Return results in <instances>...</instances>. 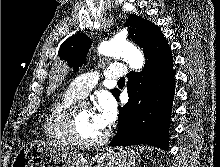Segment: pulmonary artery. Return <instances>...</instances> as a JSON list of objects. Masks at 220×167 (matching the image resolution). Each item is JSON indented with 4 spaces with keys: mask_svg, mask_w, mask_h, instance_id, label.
I'll return each mask as SVG.
<instances>
[{
    "mask_svg": "<svg viewBox=\"0 0 220 167\" xmlns=\"http://www.w3.org/2000/svg\"><path fill=\"white\" fill-rule=\"evenodd\" d=\"M127 74V68L123 64H110L104 68L103 75L107 79H120ZM96 74H82L76 77L69 90L79 98L85 97L97 84Z\"/></svg>",
    "mask_w": 220,
    "mask_h": 167,
    "instance_id": "e3ab8cb5",
    "label": "pulmonary artery"
}]
</instances>
